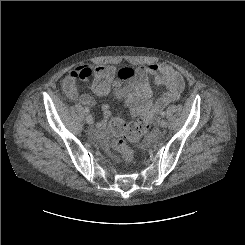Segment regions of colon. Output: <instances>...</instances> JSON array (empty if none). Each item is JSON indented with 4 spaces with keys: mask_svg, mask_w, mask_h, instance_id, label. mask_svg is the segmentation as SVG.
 Masks as SVG:
<instances>
[{
    "mask_svg": "<svg viewBox=\"0 0 245 245\" xmlns=\"http://www.w3.org/2000/svg\"><path fill=\"white\" fill-rule=\"evenodd\" d=\"M113 130L121 135L129 137L131 139H138L148 129V123L142 119L132 124H125L121 119L114 118L111 121ZM115 149L119 152L124 162L130 163L133 159V152L125 137H120L114 142Z\"/></svg>",
    "mask_w": 245,
    "mask_h": 245,
    "instance_id": "5ec220e1",
    "label": "colon"
}]
</instances>
